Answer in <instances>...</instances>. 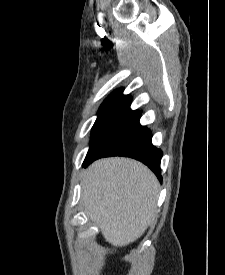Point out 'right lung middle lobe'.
<instances>
[{
  "label": "right lung middle lobe",
  "instance_id": "1",
  "mask_svg": "<svg viewBox=\"0 0 225 275\" xmlns=\"http://www.w3.org/2000/svg\"><path fill=\"white\" fill-rule=\"evenodd\" d=\"M126 118L127 117L124 116L114 115L98 117L92 128L90 148L86 157H88L98 144Z\"/></svg>",
  "mask_w": 225,
  "mask_h": 275
}]
</instances>
